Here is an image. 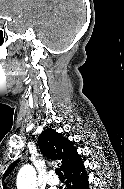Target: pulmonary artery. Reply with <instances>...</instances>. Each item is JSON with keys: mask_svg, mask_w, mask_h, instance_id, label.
<instances>
[{"mask_svg": "<svg viewBox=\"0 0 124 189\" xmlns=\"http://www.w3.org/2000/svg\"><path fill=\"white\" fill-rule=\"evenodd\" d=\"M47 184L54 187L59 184V179L54 174H50L47 177Z\"/></svg>", "mask_w": 124, "mask_h": 189, "instance_id": "e3ab8cb5", "label": "pulmonary artery"}]
</instances>
